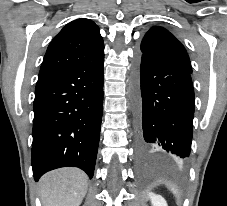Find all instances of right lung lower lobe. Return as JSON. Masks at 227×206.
I'll return each instance as SVG.
<instances>
[{"instance_id":"98d812e1","label":"right lung lower lobe","mask_w":227,"mask_h":206,"mask_svg":"<svg viewBox=\"0 0 227 206\" xmlns=\"http://www.w3.org/2000/svg\"><path fill=\"white\" fill-rule=\"evenodd\" d=\"M104 59L40 78L34 99L32 167L35 181L73 166L93 177L103 109Z\"/></svg>"}]
</instances>
